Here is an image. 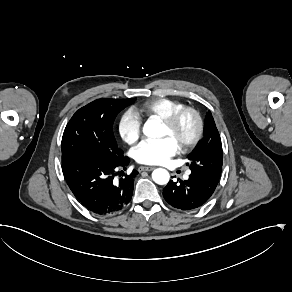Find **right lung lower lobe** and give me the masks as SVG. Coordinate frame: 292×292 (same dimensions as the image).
Masks as SVG:
<instances>
[{
    "label": "right lung lower lobe",
    "instance_id": "98d812e1",
    "mask_svg": "<svg viewBox=\"0 0 292 292\" xmlns=\"http://www.w3.org/2000/svg\"><path fill=\"white\" fill-rule=\"evenodd\" d=\"M129 162L126 156L109 161L86 154H67L62 155V171L70 190L84 207L98 215H109L131 201L138 171L114 180L118 175L115 168L126 169Z\"/></svg>",
    "mask_w": 292,
    "mask_h": 292
}]
</instances>
